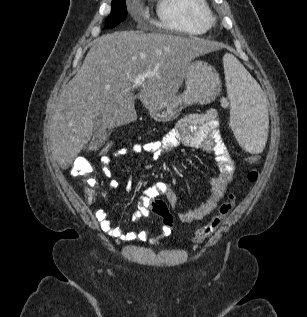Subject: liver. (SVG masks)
<instances>
[{
	"label": "liver",
	"instance_id": "liver-1",
	"mask_svg": "<svg viewBox=\"0 0 307 317\" xmlns=\"http://www.w3.org/2000/svg\"><path fill=\"white\" fill-rule=\"evenodd\" d=\"M219 45L198 37L119 31L97 38L81 68L63 88L53 116L51 151L67 169L101 115L109 129L136 120L134 79L151 72L138 94L147 108L165 105L183 83L188 63Z\"/></svg>",
	"mask_w": 307,
	"mask_h": 317
}]
</instances>
